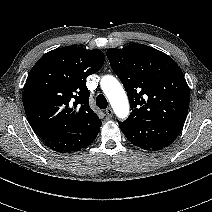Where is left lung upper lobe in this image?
Returning <instances> with one entry per match:
<instances>
[{
    "mask_svg": "<svg viewBox=\"0 0 212 212\" xmlns=\"http://www.w3.org/2000/svg\"><path fill=\"white\" fill-rule=\"evenodd\" d=\"M107 57L128 94L132 112L125 122L186 119L190 91L182 70L167 54L143 44L110 48Z\"/></svg>",
    "mask_w": 212,
    "mask_h": 212,
    "instance_id": "left-lung-upper-lobe-1",
    "label": "left lung upper lobe"
}]
</instances>
